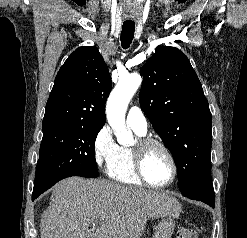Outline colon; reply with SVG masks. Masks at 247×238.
Here are the masks:
<instances>
[{
	"instance_id": "colon-1",
	"label": "colon",
	"mask_w": 247,
	"mask_h": 238,
	"mask_svg": "<svg viewBox=\"0 0 247 238\" xmlns=\"http://www.w3.org/2000/svg\"><path fill=\"white\" fill-rule=\"evenodd\" d=\"M176 238H199V236L195 230L182 227L176 231Z\"/></svg>"
}]
</instances>
